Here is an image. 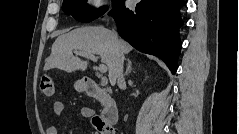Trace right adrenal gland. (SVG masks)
Wrapping results in <instances>:
<instances>
[{
    "instance_id": "right-adrenal-gland-1",
    "label": "right adrenal gland",
    "mask_w": 239,
    "mask_h": 134,
    "mask_svg": "<svg viewBox=\"0 0 239 134\" xmlns=\"http://www.w3.org/2000/svg\"><path fill=\"white\" fill-rule=\"evenodd\" d=\"M131 71H132V62L130 59H127V68H126L125 76L130 74Z\"/></svg>"
}]
</instances>
